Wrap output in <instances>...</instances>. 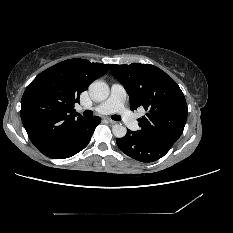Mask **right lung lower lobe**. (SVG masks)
<instances>
[{
    "mask_svg": "<svg viewBox=\"0 0 233 233\" xmlns=\"http://www.w3.org/2000/svg\"><path fill=\"white\" fill-rule=\"evenodd\" d=\"M100 117L85 118L70 129L62 138L49 147L39 150L53 159L69 158L83 150L91 140Z\"/></svg>",
    "mask_w": 233,
    "mask_h": 233,
    "instance_id": "right-lung-lower-lobe-1",
    "label": "right lung lower lobe"
}]
</instances>
